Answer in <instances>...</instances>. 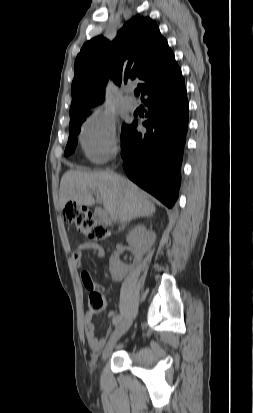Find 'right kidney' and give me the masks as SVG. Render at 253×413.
<instances>
[{
	"label": "right kidney",
	"instance_id": "1",
	"mask_svg": "<svg viewBox=\"0 0 253 413\" xmlns=\"http://www.w3.org/2000/svg\"><path fill=\"white\" fill-rule=\"evenodd\" d=\"M130 246L134 248V263H139L145 253H147L156 240V234L152 230H147L145 226L139 225L132 229L126 237ZM131 267L124 265L118 255H112L109 261V270L113 280L121 281Z\"/></svg>",
	"mask_w": 253,
	"mask_h": 413
}]
</instances>
